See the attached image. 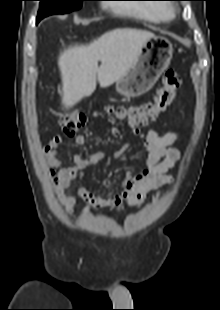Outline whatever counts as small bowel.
I'll use <instances>...</instances> for the list:
<instances>
[{
    "mask_svg": "<svg viewBox=\"0 0 220 310\" xmlns=\"http://www.w3.org/2000/svg\"><path fill=\"white\" fill-rule=\"evenodd\" d=\"M134 133L143 140L147 149L148 155L145 167L138 174L126 171L123 179L117 185L121 189L120 193L111 191L105 197H101L79 186L77 194L90 202L93 208L112 206L122 209L124 202L128 207L140 208L148 193L173 182L174 175L168 172L175 169L180 160V152L174 147L178 139L177 133L167 132L160 135L154 129H150L146 134H143L140 130H134ZM110 134L113 138H118L120 136L119 128L112 127ZM62 140L61 135H56L44 146V162L56 184V194L59 202L64 206L66 214L72 217L76 198L66 194L65 191L74 180L82 179L85 170L96 166L104 159L115 160L119 158L126 150V146L111 155L96 153L84 157L77 154L73 157L71 166H64L58 156ZM86 141L87 137L84 134L75 136L77 145L83 146ZM55 168H59V170L55 171Z\"/></svg>",
    "mask_w": 220,
    "mask_h": 310,
    "instance_id": "small-bowel-1",
    "label": "small bowel"
}]
</instances>
